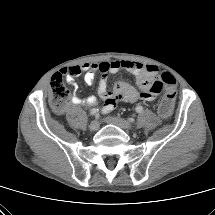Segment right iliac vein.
I'll return each mask as SVG.
<instances>
[{
	"instance_id": "right-iliac-vein-1",
	"label": "right iliac vein",
	"mask_w": 215,
	"mask_h": 215,
	"mask_svg": "<svg viewBox=\"0 0 215 215\" xmlns=\"http://www.w3.org/2000/svg\"><path fill=\"white\" fill-rule=\"evenodd\" d=\"M99 126V122L97 120H93L89 125V129L91 131H97L99 129Z\"/></svg>"
}]
</instances>
